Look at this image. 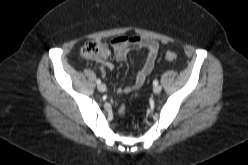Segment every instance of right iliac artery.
Masks as SVG:
<instances>
[{"instance_id": "82829eb1", "label": "right iliac artery", "mask_w": 248, "mask_h": 165, "mask_svg": "<svg viewBox=\"0 0 248 165\" xmlns=\"http://www.w3.org/2000/svg\"><path fill=\"white\" fill-rule=\"evenodd\" d=\"M96 83H97L98 85L101 84V80L98 79V80L96 81Z\"/></svg>"}]
</instances>
